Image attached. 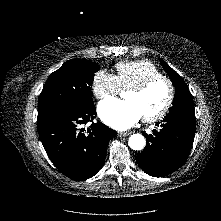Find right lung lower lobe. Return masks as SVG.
Returning <instances> with one entry per match:
<instances>
[{
    "instance_id": "98d812e1",
    "label": "right lung lower lobe",
    "mask_w": 221,
    "mask_h": 221,
    "mask_svg": "<svg viewBox=\"0 0 221 221\" xmlns=\"http://www.w3.org/2000/svg\"><path fill=\"white\" fill-rule=\"evenodd\" d=\"M96 108L92 100L68 102L38 110V133L44 149L65 176L85 180L103 166L108 142L116 131L101 122H93Z\"/></svg>"
}]
</instances>
